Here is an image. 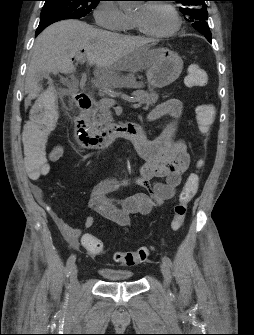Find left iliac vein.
Masks as SVG:
<instances>
[{"instance_id": "left-iliac-vein-1", "label": "left iliac vein", "mask_w": 254, "mask_h": 335, "mask_svg": "<svg viewBox=\"0 0 254 335\" xmlns=\"http://www.w3.org/2000/svg\"><path fill=\"white\" fill-rule=\"evenodd\" d=\"M160 268H161V273H162L163 278H164V285H165V287L168 288L169 285H170V282H171V276H170L169 268L165 263H162Z\"/></svg>"}]
</instances>
